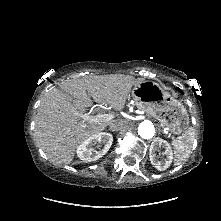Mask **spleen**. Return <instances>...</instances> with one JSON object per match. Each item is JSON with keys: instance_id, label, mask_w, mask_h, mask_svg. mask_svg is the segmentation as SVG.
I'll use <instances>...</instances> for the list:
<instances>
[{"instance_id": "1", "label": "spleen", "mask_w": 221, "mask_h": 221, "mask_svg": "<svg viewBox=\"0 0 221 221\" xmlns=\"http://www.w3.org/2000/svg\"><path fill=\"white\" fill-rule=\"evenodd\" d=\"M194 141L193 129L189 128L181 137L173 142L176 164L180 165L185 161L191 152Z\"/></svg>"}]
</instances>
